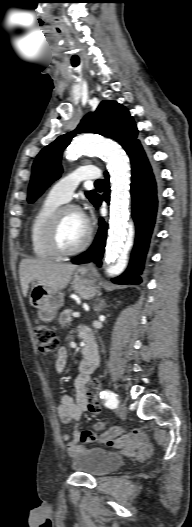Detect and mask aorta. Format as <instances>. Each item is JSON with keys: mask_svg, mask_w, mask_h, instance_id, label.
Here are the masks:
<instances>
[{"mask_svg": "<svg viewBox=\"0 0 192 527\" xmlns=\"http://www.w3.org/2000/svg\"><path fill=\"white\" fill-rule=\"evenodd\" d=\"M82 153L99 154L106 160L111 177L110 230L105 261L112 275L121 273L127 264V254L133 241L129 225L130 168L124 151L116 144L98 136L76 138L67 148L66 158L76 160Z\"/></svg>", "mask_w": 192, "mask_h": 527, "instance_id": "1", "label": "aorta"}]
</instances>
